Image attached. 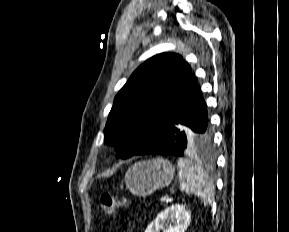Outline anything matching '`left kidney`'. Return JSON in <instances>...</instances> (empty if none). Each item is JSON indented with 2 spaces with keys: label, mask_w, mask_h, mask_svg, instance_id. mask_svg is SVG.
Returning <instances> with one entry per match:
<instances>
[{
  "label": "left kidney",
  "mask_w": 289,
  "mask_h": 232,
  "mask_svg": "<svg viewBox=\"0 0 289 232\" xmlns=\"http://www.w3.org/2000/svg\"><path fill=\"white\" fill-rule=\"evenodd\" d=\"M191 221V211L186 205H172L158 214L145 232H185Z\"/></svg>",
  "instance_id": "5707ae66"
}]
</instances>
